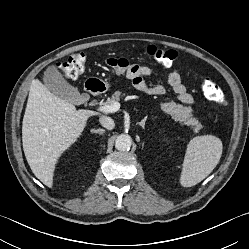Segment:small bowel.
<instances>
[{
    "instance_id": "c3829d8e",
    "label": "small bowel",
    "mask_w": 249,
    "mask_h": 249,
    "mask_svg": "<svg viewBox=\"0 0 249 249\" xmlns=\"http://www.w3.org/2000/svg\"><path fill=\"white\" fill-rule=\"evenodd\" d=\"M117 72L125 74L127 78L132 82L134 88L139 91H143L151 95H162L165 92V88L162 85L149 86L147 84V82L145 81V77L151 74V69L147 66L130 64L128 62V66L124 71ZM168 82L175 92L177 99L181 103L190 105L194 102L193 95L187 90L186 86L182 82V77L179 70L173 69L169 73Z\"/></svg>"
}]
</instances>
